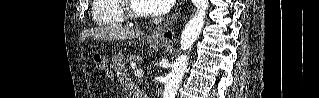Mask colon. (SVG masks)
Returning a JSON list of instances; mask_svg holds the SVG:
<instances>
[{"mask_svg":"<svg viewBox=\"0 0 319 98\" xmlns=\"http://www.w3.org/2000/svg\"><path fill=\"white\" fill-rule=\"evenodd\" d=\"M93 61L98 68L102 69L105 67V60L101 53L95 52L93 54Z\"/></svg>","mask_w":319,"mask_h":98,"instance_id":"obj_1","label":"colon"}]
</instances>
